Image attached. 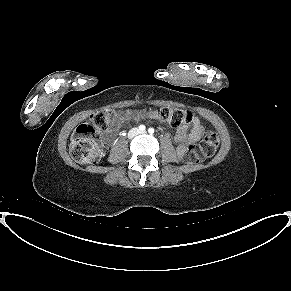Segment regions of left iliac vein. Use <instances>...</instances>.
Segmentation results:
<instances>
[{"instance_id":"1","label":"left iliac vein","mask_w":291,"mask_h":291,"mask_svg":"<svg viewBox=\"0 0 291 291\" xmlns=\"http://www.w3.org/2000/svg\"><path fill=\"white\" fill-rule=\"evenodd\" d=\"M140 133H141V134H144V133H146V131H141Z\"/></svg>"}]
</instances>
